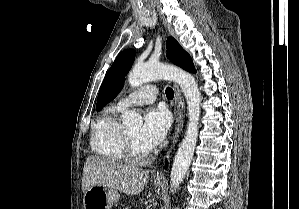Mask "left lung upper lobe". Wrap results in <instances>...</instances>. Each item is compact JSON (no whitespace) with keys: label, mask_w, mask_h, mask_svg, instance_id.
<instances>
[{"label":"left lung upper lobe","mask_w":299,"mask_h":209,"mask_svg":"<svg viewBox=\"0 0 299 209\" xmlns=\"http://www.w3.org/2000/svg\"><path fill=\"white\" fill-rule=\"evenodd\" d=\"M167 57L174 64L186 71L192 72L194 65L190 55L172 37L167 38ZM135 57L132 49L121 52L109 69L98 94L96 111L101 110L113 100L123 87L125 74L130 70Z\"/></svg>","instance_id":"obj_1"}]
</instances>
